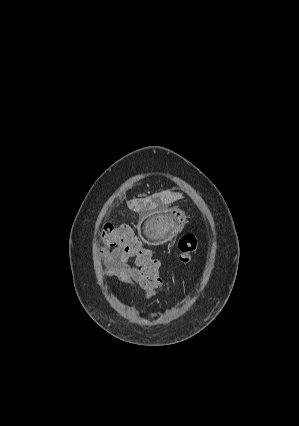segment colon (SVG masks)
I'll use <instances>...</instances> for the list:
<instances>
[{
	"mask_svg": "<svg viewBox=\"0 0 299 426\" xmlns=\"http://www.w3.org/2000/svg\"><path fill=\"white\" fill-rule=\"evenodd\" d=\"M101 252L106 255L109 249L119 248L128 254L141 270L140 290L148 299L158 296L162 285L160 277V261L154 257L153 251L144 246L128 225L115 226L106 223L101 230ZM179 260L189 265L198 249V238L193 233L184 234L178 243Z\"/></svg>",
	"mask_w": 299,
	"mask_h": 426,
	"instance_id": "1",
	"label": "colon"
}]
</instances>
